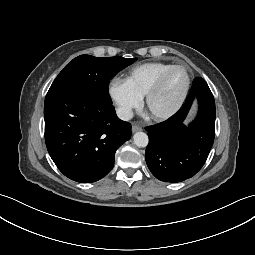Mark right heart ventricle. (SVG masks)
I'll return each mask as SVG.
<instances>
[{"label": "right heart ventricle", "mask_w": 255, "mask_h": 255, "mask_svg": "<svg viewBox=\"0 0 255 255\" xmlns=\"http://www.w3.org/2000/svg\"><path fill=\"white\" fill-rule=\"evenodd\" d=\"M172 66L174 65L163 62L144 63L134 67L126 81L142 97L146 95L161 74Z\"/></svg>", "instance_id": "1"}]
</instances>
